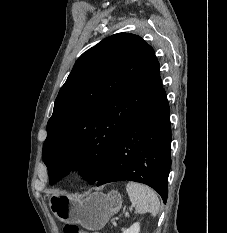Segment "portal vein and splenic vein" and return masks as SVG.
Instances as JSON below:
<instances>
[{"label": "portal vein and splenic vein", "mask_w": 227, "mask_h": 233, "mask_svg": "<svg viewBox=\"0 0 227 233\" xmlns=\"http://www.w3.org/2000/svg\"><path fill=\"white\" fill-rule=\"evenodd\" d=\"M131 208H132V207H131ZM131 208H130V209H131ZM128 216H129V212H126V213H125V217H128Z\"/></svg>", "instance_id": "1"}]
</instances>
